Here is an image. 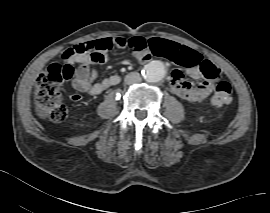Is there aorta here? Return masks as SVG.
I'll use <instances>...</instances> for the list:
<instances>
[{
	"label": "aorta",
	"mask_w": 270,
	"mask_h": 213,
	"mask_svg": "<svg viewBox=\"0 0 270 213\" xmlns=\"http://www.w3.org/2000/svg\"><path fill=\"white\" fill-rule=\"evenodd\" d=\"M143 72L147 81L160 82L165 78L167 68L166 65L161 61H151L145 65Z\"/></svg>",
	"instance_id": "obj_1"
}]
</instances>
